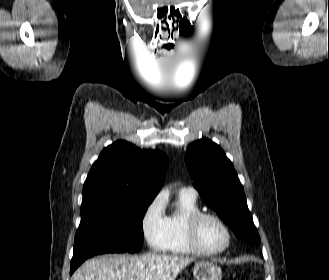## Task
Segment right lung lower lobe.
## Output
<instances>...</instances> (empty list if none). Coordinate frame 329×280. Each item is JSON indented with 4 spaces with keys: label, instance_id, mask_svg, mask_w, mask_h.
Here are the masks:
<instances>
[{
    "label": "right lung lower lobe",
    "instance_id": "obj_1",
    "mask_svg": "<svg viewBox=\"0 0 329 280\" xmlns=\"http://www.w3.org/2000/svg\"><path fill=\"white\" fill-rule=\"evenodd\" d=\"M76 269V268H75ZM75 269L74 270H70V273L72 274L74 271H75Z\"/></svg>",
    "mask_w": 329,
    "mask_h": 280
}]
</instances>
